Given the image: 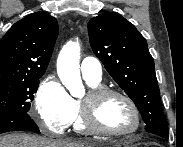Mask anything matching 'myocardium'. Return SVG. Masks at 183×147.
I'll list each match as a JSON object with an SVG mask.
<instances>
[{"instance_id":"1","label":"myocardium","mask_w":183,"mask_h":147,"mask_svg":"<svg viewBox=\"0 0 183 147\" xmlns=\"http://www.w3.org/2000/svg\"><path fill=\"white\" fill-rule=\"evenodd\" d=\"M112 96L122 98L130 106L136 120V125L133 130L128 132H119L108 129L101 124L97 115L98 106L101 101ZM81 105H82V115L84 123L88 128V130H90L93 133L113 137H131L138 134L142 128V117L136 103L130 96H128L126 93L122 91L110 88L93 89L88 93L87 97L81 102Z\"/></svg>"}]
</instances>
